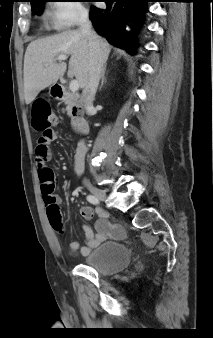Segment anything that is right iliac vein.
I'll use <instances>...</instances> for the list:
<instances>
[{"label":"right iliac vein","mask_w":213,"mask_h":338,"mask_svg":"<svg viewBox=\"0 0 213 338\" xmlns=\"http://www.w3.org/2000/svg\"><path fill=\"white\" fill-rule=\"evenodd\" d=\"M88 189L95 197H97L100 200H105L106 197H107L104 191H102V190H100L96 187H93V186L90 185V186H88Z\"/></svg>","instance_id":"obj_1"}]
</instances>
